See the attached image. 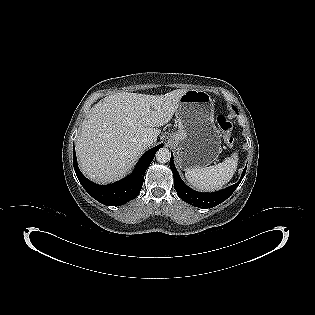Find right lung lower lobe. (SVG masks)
I'll use <instances>...</instances> for the list:
<instances>
[{
    "mask_svg": "<svg viewBox=\"0 0 315 315\" xmlns=\"http://www.w3.org/2000/svg\"><path fill=\"white\" fill-rule=\"evenodd\" d=\"M163 144L151 148L145 152L138 161L133 173L118 182L110 185L101 186L88 180L79 170L75 149L73 150V165L75 173L84 187V189L97 201L104 205H123L128 201L137 197L143 185V179L146 169L151 164L156 151L160 149Z\"/></svg>",
    "mask_w": 315,
    "mask_h": 315,
    "instance_id": "1",
    "label": "right lung lower lobe"
}]
</instances>
